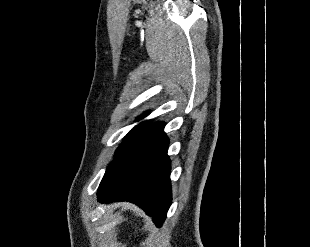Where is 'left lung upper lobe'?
I'll return each instance as SVG.
<instances>
[{
    "label": "left lung upper lobe",
    "mask_w": 310,
    "mask_h": 247,
    "mask_svg": "<svg viewBox=\"0 0 310 247\" xmlns=\"http://www.w3.org/2000/svg\"><path fill=\"white\" fill-rule=\"evenodd\" d=\"M146 115H148V112H146L143 116H139V120L143 119ZM150 126V121H144L139 123L137 126H135L127 135L126 139L124 140L123 144L117 149L116 152L123 149L125 145H127L134 137H136L140 132H142L145 128Z\"/></svg>",
    "instance_id": "obj_1"
}]
</instances>
